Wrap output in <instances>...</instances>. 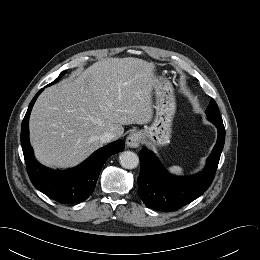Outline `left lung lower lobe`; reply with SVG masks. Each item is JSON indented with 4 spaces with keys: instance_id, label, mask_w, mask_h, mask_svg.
I'll list each match as a JSON object with an SVG mask.
<instances>
[{
    "instance_id": "1",
    "label": "left lung lower lobe",
    "mask_w": 260,
    "mask_h": 260,
    "mask_svg": "<svg viewBox=\"0 0 260 260\" xmlns=\"http://www.w3.org/2000/svg\"><path fill=\"white\" fill-rule=\"evenodd\" d=\"M211 122L218 129L217 143L207 159L205 169L194 176L175 177L161 167L154 153L146 148L140 151L138 194L147 207L165 212L175 211L208 189L214 179L225 141L223 122Z\"/></svg>"
}]
</instances>
